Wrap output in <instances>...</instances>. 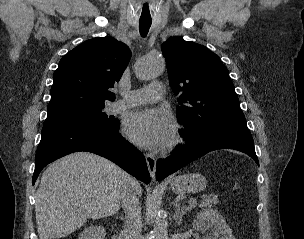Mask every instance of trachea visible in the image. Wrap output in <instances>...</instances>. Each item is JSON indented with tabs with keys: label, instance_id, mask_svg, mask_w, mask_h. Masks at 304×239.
<instances>
[{
	"label": "trachea",
	"instance_id": "trachea-1",
	"mask_svg": "<svg viewBox=\"0 0 304 239\" xmlns=\"http://www.w3.org/2000/svg\"><path fill=\"white\" fill-rule=\"evenodd\" d=\"M150 2H141L139 9V31L142 37L148 34L149 28L152 24L153 14L150 12Z\"/></svg>",
	"mask_w": 304,
	"mask_h": 239
}]
</instances>
